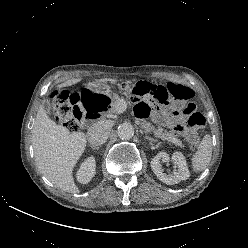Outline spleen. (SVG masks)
I'll use <instances>...</instances> for the list:
<instances>
[{
    "mask_svg": "<svg viewBox=\"0 0 248 248\" xmlns=\"http://www.w3.org/2000/svg\"><path fill=\"white\" fill-rule=\"evenodd\" d=\"M212 139L209 134L205 135L192 157V168L195 172L206 169L212 157Z\"/></svg>",
    "mask_w": 248,
    "mask_h": 248,
    "instance_id": "3e777b00",
    "label": "spleen"
}]
</instances>
